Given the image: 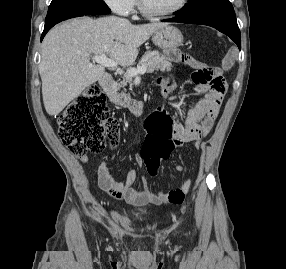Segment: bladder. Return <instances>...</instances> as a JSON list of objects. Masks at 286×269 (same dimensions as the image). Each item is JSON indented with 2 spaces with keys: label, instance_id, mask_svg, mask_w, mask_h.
I'll return each mask as SVG.
<instances>
[{
  "label": "bladder",
  "instance_id": "bladder-1",
  "mask_svg": "<svg viewBox=\"0 0 286 269\" xmlns=\"http://www.w3.org/2000/svg\"><path fill=\"white\" fill-rule=\"evenodd\" d=\"M136 214L141 218H146L148 216V211L146 209H140L136 211Z\"/></svg>",
  "mask_w": 286,
  "mask_h": 269
}]
</instances>
